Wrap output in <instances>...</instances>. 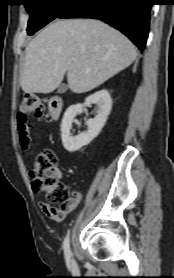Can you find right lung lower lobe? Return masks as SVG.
Masks as SVG:
<instances>
[{
    "instance_id": "obj_1",
    "label": "right lung lower lobe",
    "mask_w": 174,
    "mask_h": 278,
    "mask_svg": "<svg viewBox=\"0 0 174 278\" xmlns=\"http://www.w3.org/2000/svg\"><path fill=\"white\" fill-rule=\"evenodd\" d=\"M152 0H78L58 18L100 19L145 48Z\"/></svg>"
}]
</instances>
